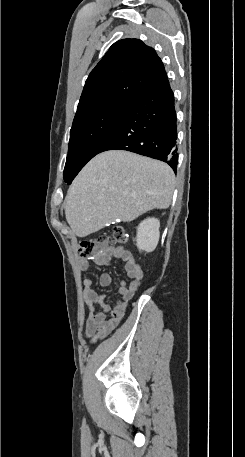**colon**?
Instances as JSON below:
<instances>
[{
	"label": "colon",
	"mask_w": 245,
	"mask_h": 457,
	"mask_svg": "<svg viewBox=\"0 0 245 457\" xmlns=\"http://www.w3.org/2000/svg\"><path fill=\"white\" fill-rule=\"evenodd\" d=\"M127 241V234L120 226H115L110 237L99 235L83 240L78 249L80 259H91L103 253L112 244H124Z\"/></svg>",
	"instance_id": "colon-1"
}]
</instances>
